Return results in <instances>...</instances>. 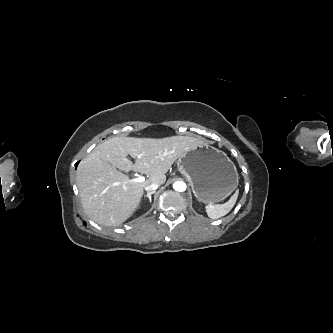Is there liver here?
I'll return each instance as SVG.
<instances>
[{"label":"liver","mask_w":333,"mask_h":333,"mask_svg":"<svg viewBox=\"0 0 333 333\" xmlns=\"http://www.w3.org/2000/svg\"><path fill=\"white\" fill-rule=\"evenodd\" d=\"M202 144L203 140L190 136L107 139L77 168L76 183L85 213L99 225H121L139 207L143 188L151 183L164 184L165 174L176 159ZM131 170L147 175V179L124 185L129 177L121 171Z\"/></svg>","instance_id":"obj_1"}]
</instances>
